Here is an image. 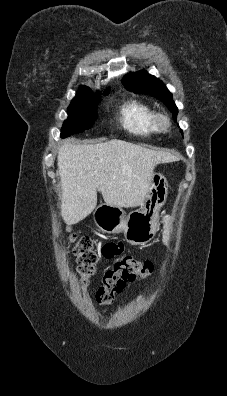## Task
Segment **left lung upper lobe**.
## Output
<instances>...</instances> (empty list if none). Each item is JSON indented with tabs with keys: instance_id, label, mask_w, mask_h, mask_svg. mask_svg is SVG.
<instances>
[{
	"instance_id": "obj_1",
	"label": "left lung upper lobe",
	"mask_w": 227,
	"mask_h": 396,
	"mask_svg": "<svg viewBox=\"0 0 227 396\" xmlns=\"http://www.w3.org/2000/svg\"><path fill=\"white\" fill-rule=\"evenodd\" d=\"M123 83L128 90L134 91V93L149 94L163 101L173 113V117L176 120L178 109L172 99V94L162 81L155 76L148 74L146 71H138L126 75Z\"/></svg>"
}]
</instances>
